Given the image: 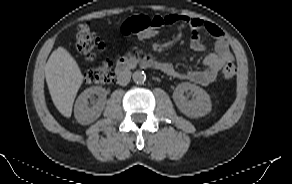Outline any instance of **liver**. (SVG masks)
<instances>
[{"mask_svg":"<svg viewBox=\"0 0 292 184\" xmlns=\"http://www.w3.org/2000/svg\"><path fill=\"white\" fill-rule=\"evenodd\" d=\"M45 77L52 101L58 111L69 118L84 76L71 56L63 47H58L50 55L45 65Z\"/></svg>","mask_w":292,"mask_h":184,"instance_id":"obj_1","label":"liver"}]
</instances>
